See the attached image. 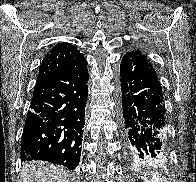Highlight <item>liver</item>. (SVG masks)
<instances>
[{"label": "liver", "instance_id": "liver-1", "mask_svg": "<svg viewBox=\"0 0 196 182\" xmlns=\"http://www.w3.org/2000/svg\"><path fill=\"white\" fill-rule=\"evenodd\" d=\"M21 182H69L68 171L62 166L32 161L23 166Z\"/></svg>", "mask_w": 196, "mask_h": 182}]
</instances>
